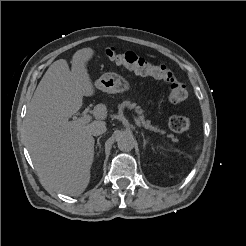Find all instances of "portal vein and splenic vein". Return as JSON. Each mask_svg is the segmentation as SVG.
<instances>
[{
	"mask_svg": "<svg viewBox=\"0 0 246 246\" xmlns=\"http://www.w3.org/2000/svg\"><path fill=\"white\" fill-rule=\"evenodd\" d=\"M92 120V116L88 115V114H83L81 117L79 118H75L73 121L68 122L70 125H84L89 123ZM135 122L136 125L138 127H142L143 124H141L140 120L135 118Z\"/></svg>",
	"mask_w": 246,
	"mask_h": 246,
	"instance_id": "portal-vein-and-splenic-vein-1",
	"label": "portal vein and splenic vein"
}]
</instances>
